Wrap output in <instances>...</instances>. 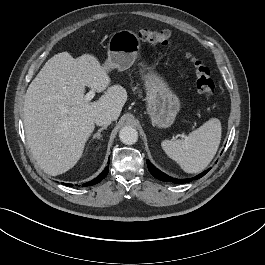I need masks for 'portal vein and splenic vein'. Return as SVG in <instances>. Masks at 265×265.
I'll use <instances>...</instances> for the list:
<instances>
[{
	"label": "portal vein and splenic vein",
	"mask_w": 265,
	"mask_h": 265,
	"mask_svg": "<svg viewBox=\"0 0 265 265\" xmlns=\"http://www.w3.org/2000/svg\"><path fill=\"white\" fill-rule=\"evenodd\" d=\"M95 96V91L94 90H90L84 97V100L86 102H89L93 99V97Z\"/></svg>",
	"instance_id": "portal-vein-and-splenic-vein-1"
}]
</instances>
